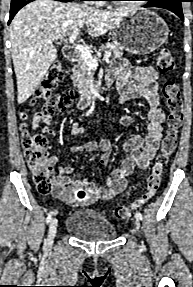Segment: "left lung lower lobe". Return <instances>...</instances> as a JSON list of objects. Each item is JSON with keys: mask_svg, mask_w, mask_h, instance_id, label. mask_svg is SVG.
I'll return each mask as SVG.
<instances>
[{"mask_svg": "<svg viewBox=\"0 0 193 287\" xmlns=\"http://www.w3.org/2000/svg\"><path fill=\"white\" fill-rule=\"evenodd\" d=\"M186 0H158L147 3L144 7H160L172 11L184 21L181 3Z\"/></svg>", "mask_w": 193, "mask_h": 287, "instance_id": "1", "label": "left lung lower lobe"}]
</instances>
